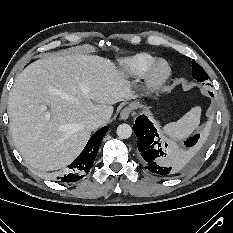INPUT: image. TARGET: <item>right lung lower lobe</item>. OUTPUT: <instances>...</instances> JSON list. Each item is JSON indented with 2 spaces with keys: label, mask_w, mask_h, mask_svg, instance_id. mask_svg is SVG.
<instances>
[{
  "label": "right lung lower lobe",
  "mask_w": 233,
  "mask_h": 233,
  "mask_svg": "<svg viewBox=\"0 0 233 233\" xmlns=\"http://www.w3.org/2000/svg\"><path fill=\"white\" fill-rule=\"evenodd\" d=\"M107 131L108 126H104L95 132L89 139L81 154L68 166L66 174L58 179L62 182H75L83 178L92 167L98 153L100 143Z\"/></svg>",
  "instance_id": "obj_1"
}]
</instances>
